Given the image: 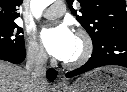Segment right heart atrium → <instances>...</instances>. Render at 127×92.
<instances>
[{"mask_svg": "<svg viewBox=\"0 0 127 92\" xmlns=\"http://www.w3.org/2000/svg\"><path fill=\"white\" fill-rule=\"evenodd\" d=\"M26 52L28 60L33 64L42 65L47 60L44 49L34 37L28 38Z\"/></svg>", "mask_w": 127, "mask_h": 92, "instance_id": "d8ad5b80", "label": "right heart atrium"}]
</instances>
